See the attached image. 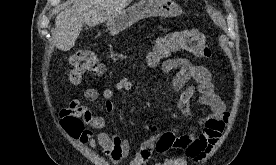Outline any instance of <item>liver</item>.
<instances>
[{"instance_id":"liver-1","label":"liver","mask_w":276,"mask_h":165,"mask_svg":"<svg viewBox=\"0 0 276 165\" xmlns=\"http://www.w3.org/2000/svg\"><path fill=\"white\" fill-rule=\"evenodd\" d=\"M132 0H81L57 15L52 33L56 47L70 50L84 24L89 27L112 20L119 15Z\"/></svg>"}]
</instances>
